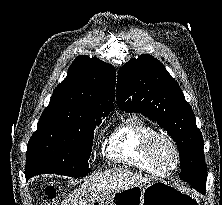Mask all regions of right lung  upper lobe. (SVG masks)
<instances>
[{"label":"right lung upper lobe","mask_w":222,"mask_h":205,"mask_svg":"<svg viewBox=\"0 0 222 205\" xmlns=\"http://www.w3.org/2000/svg\"><path fill=\"white\" fill-rule=\"evenodd\" d=\"M115 79L112 65L96 57L77 56L40 119H104L113 109Z\"/></svg>","instance_id":"1"}]
</instances>
